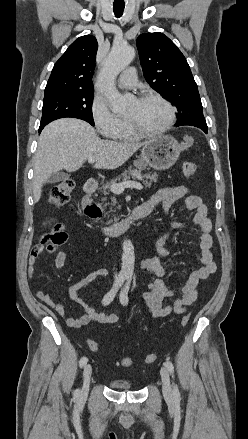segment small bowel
<instances>
[{"mask_svg": "<svg viewBox=\"0 0 248 439\" xmlns=\"http://www.w3.org/2000/svg\"><path fill=\"white\" fill-rule=\"evenodd\" d=\"M180 199H183L185 207L188 210L194 211L191 225L200 231L199 256L201 266L190 274L188 280L179 291L176 292L170 289L163 280L165 270L161 264V259L169 254L164 244L170 235V230L158 236L155 242L157 254L151 258L142 260L140 263V269L146 271L151 276L149 291L142 293L141 298L146 302L149 312L153 317H165L171 313H184L187 308L196 301L201 282L217 270V265L211 252L213 244L211 235L212 223L208 218L207 206L202 202L199 196L191 193L188 187L184 185H174L158 190L152 194L142 206L150 213L158 204H161L164 214L168 216L172 205ZM185 226L186 224L183 223L170 222L171 229L183 228ZM42 250L40 246H36L30 253L28 260L29 278H33L34 276L35 264ZM66 258L67 252L60 250L55 258V266L57 269L63 268ZM106 275L107 271L105 269H97L70 288V298L83 308L84 314L76 318H67L66 322L68 326L80 328L89 323L114 324L118 322L119 318L116 314L100 312L95 307L86 303L82 297V292L87 287ZM35 295L60 316L63 317L65 315L64 305L54 300L49 293L42 289H36ZM172 297L175 298L171 304L166 306L162 305L164 299Z\"/></svg>", "mask_w": 248, "mask_h": 439, "instance_id": "c3829d8e", "label": "small bowel"}]
</instances>
